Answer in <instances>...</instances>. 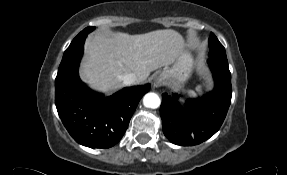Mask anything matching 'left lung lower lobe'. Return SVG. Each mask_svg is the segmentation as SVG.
<instances>
[{"label": "left lung lower lobe", "instance_id": "1", "mask_svg": "<svg viewBox=\"0 0 287 175\" xmlns=\"http://www.w3.org/2000/svg\"><path fill=\"white\" fill-rule=\"evenodd\" d=\"M215 87L197 100H188L185 108L179 95L162 94L160 114L165 136L174 144L193 146L214 135L222 125L231 103V74L228 61L210 57Z\"/></svg>", "mask_w": 287, "mask_h": 175}]
</instances>
